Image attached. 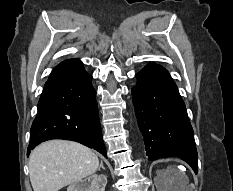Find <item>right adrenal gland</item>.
Listing matches in <instances>:
<instances>
[{
  "label": "right adrenal gland",
  "mask_w": 233,
  "mask_h": 191,
  "mask_svg": "<svg viewBox=\"0 0 233 191\" xmlns=\"http://www.w3.org/2000/svg\"><path fill=\"white\" fill-rule=\"evenodd\" d=\"M101 168L105 169V167L103 166V162L102 161L100 162V166H99L98 170H100Z\"/></svg>",
  "instance_id": "right-adrenal-gland-1"
}]
</instances>
